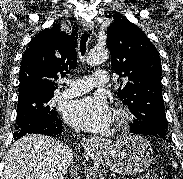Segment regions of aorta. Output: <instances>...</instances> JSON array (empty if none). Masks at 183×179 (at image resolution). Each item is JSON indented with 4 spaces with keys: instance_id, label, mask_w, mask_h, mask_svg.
I'll list each match as a JSON object with an SVG mask.
<instances>
[{
    "instance_id": "762f6f07",
    "label": "aorta",
    "mask_w": 183,
    "mask_h": 179,
    "mask_svg": "<svg viewBox=\"0 0 183 179\" xmlns=\"http://www.w3.org/2000/svg\"><path fill=\"white\" fill-rule=\"evenodd\" d=\"M109 58V51L106 48H95L87 56L86 62L89 65L101 64Z\"/></svg>"
}]
</instances>
